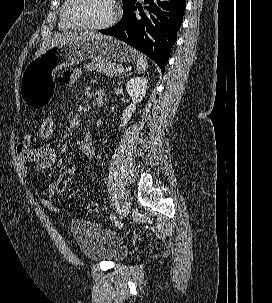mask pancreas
Instances as JSON below:
<instances>
[{"label": "pancreas", "mask_w": 272, "mask_h": 303, "mask_svg": "<svg viewBox=\"0 0 272 303\" xmlns=\"http://www.w3.org/2000/svg\"><path fill=\"white\" fill-rule=\"evenodd\" d=\"M88 71H99L108 77L119 76L121 73L118 72L122 65L110 62L107 60H93L85 66Z\"/></svg>", "instance_id": "cf45deb5"}]
</instances>
